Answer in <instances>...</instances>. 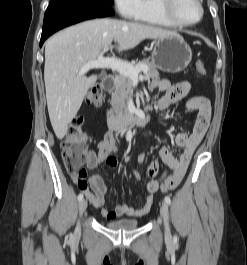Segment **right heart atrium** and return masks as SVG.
Wrapping results in <instances>:
<instances>
[{
    "label": "right heart atrium",
    "mask_w": 247,
    "mask_h": 265,
    "mask_svg": "<svg viewBox=\"0 0 247 265\" xmlns=\"http://www.w3.org/2000/svg\"><path fill=\"white\" fill-rule=\"evenodd\" d=\"M119 13L127 19H135L140 11L141 0H114Z\"/></svg>",
    "instance_id": "right-heart-atrium-1"
}]
</instances>
